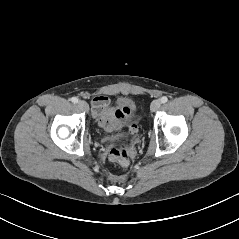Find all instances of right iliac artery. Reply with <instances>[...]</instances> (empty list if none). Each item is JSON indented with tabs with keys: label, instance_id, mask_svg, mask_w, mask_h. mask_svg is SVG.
<instances>
[{
	"label": "right iliac artery",
	"instance_id": "1",
	"mask_svg": "<svg viewBox=\"0 0 239 239\" xmlns=\"http://www.w3.org/2000/svg\"><path fill=\"white\" fill-rule=\"evenodd\" d=\"M71 101H72L74 104H76V103H78V98L72 97V98H71Z\"/></svg>",
	"mask_w": 239,
	"mask_h": 239
}]
</instances>
